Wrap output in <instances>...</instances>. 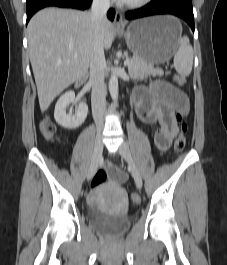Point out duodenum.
Here are the masks:
<instances>
[{"label":"duodenum","instance_id":"1","mask_svg":"<svg viewBox=\"0 0 227 265\" xmlns=\"http://www.w3.org/2000/svg\"><path fill=\"white\" fill-rule=\"evenodd\" d=\"M80 84H81V83H80V81H79V82H77V84H76V85H77V86H80Z\"/></svg>","mask_w":227,"mask_h":265}]
</instances>
